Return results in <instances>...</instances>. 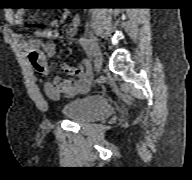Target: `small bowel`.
Returning <instances> with one entry per match:
<instances>
[{
    "label": "small bowel",
    "instance_id": "1",
    "mask_svg": "<svg viewBox=\"0 0 192 180\" xmlns=\"http://www.w3.org/2000/svg\"><path fill=\"white\" fill-rule=\"evenodd\" d=\"M23 14V10H18L12 16V22L16 25L22 24ZM78 24V18L74 17L67 28L68 36H75ZM56 26H58V21L53 20L49 27L36 31L34 38L23 41V47L28 52L33 67L45 78L46 94L53 100L84 93L89 90L92 83V74L87 61H83L77 67L66 65L64 71L68 75L67 78L54 75L52 66L46 58L52 57L55 53V45L50 39L53 36L52 28ZM44 39L48 41H44Z\"/></svg>",
    "mask_w": 192,
    "mask_h": 180
}]
</instances>
